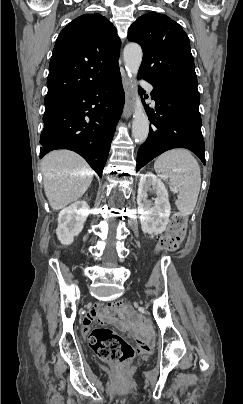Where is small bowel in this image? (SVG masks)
Returning a JSON list of instances; mask_svg holds the SVG:
<instances>
[{
  "instance_id": "obj_1",
  "label": "small bowel",
  "mask_w": 243,
  "mask_h": 404,
  "mask_svg": "<svg viewBox=\"0 0 243 404\" xmlns=\"http://www.w3.org/2000/svg\"><path fill=\"white\" fill-rule=\"evenodd\" d=\"M99 318L98 306H96L83 320V331L87 333L90 325Z\"/></svg>"
}]
</instances>
